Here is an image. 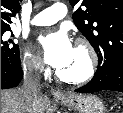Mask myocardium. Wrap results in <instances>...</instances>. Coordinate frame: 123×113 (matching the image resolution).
Segmentation results:
<instances>
[{"instance_id":"obj_1","label":"myocardium","mask_w":123,"mask_h":113,"mask_svg":"<svg viewBox=\"0 0 123 113\" xmlns=\"http://www.w3.org/2000/svg\"><path fill=\"white\" fill-rule=\"evenodd\" d=\"M76 49L81 50L86 56V69L83 73L76 76H67L60 72V70L56 71V77L65 83L70 84H82L89 82L96 74L97 65H98V56L91 45V43L84 39L79 38L76 41Z\"/></svg>"}]
</instances>
